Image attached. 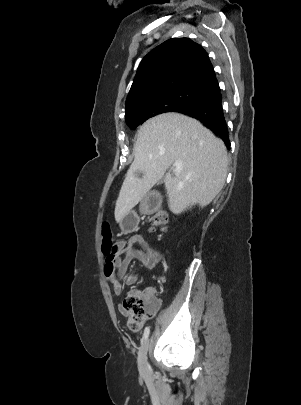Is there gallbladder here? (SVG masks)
<instances>
[{
	"mask_svg": "<svg viewBox=\"0 0 301 405\" xmlns=\"http://www.w3.org/2000/svg\"><path fill=\"white\" fill-rule=\"evenodd\" d=\"M163 182V178H161L160 180H159V183H162Z\"/></svg>",
	"mask_w": 301,
	"mask_h": 405,
	"instance_id": "bac80fb5",
	"label": "gallbladder"
}]
</instances>
